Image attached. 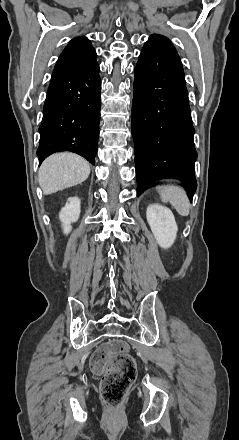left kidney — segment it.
<instances>
[{
  "instance_id": "obj_1",
  "label": "left kidney",
  "mask_w": 239,
  "mask_h": 440,
  "mask_svg": "<svg viewBox=\"0 0 239 440\" xmlns=\"http://www.w3.org/2000/svg\"><path fill=\"white\" fill-rule=\"evenodd\" d=\"M146 218L160 248H171L178 232V226L171 210L160 206V204H150L147 208Z\"/></svg>"
}]
</instances>
